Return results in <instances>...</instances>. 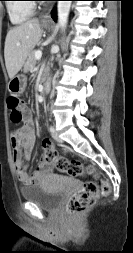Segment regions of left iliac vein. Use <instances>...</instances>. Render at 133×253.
I'll use <instances>...</instances> for the list:
<instances>
[{"label": "left iliac vein", "instance_id": "left-iliac-vein-1", "mask_svg": "<svg viewBox=\"0 0 133 253\" xmlns=\"http://www.w3.org/2000/svg\"><path fill=\"white\" fill-rule=\"evenodd\" d=\"M52 137L57 141V142H62V139L59 137V134L56 130L52 132Z\"/></svg>", "mask_w": 133, "mask_h": 253}]
</instances>
